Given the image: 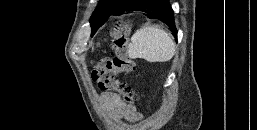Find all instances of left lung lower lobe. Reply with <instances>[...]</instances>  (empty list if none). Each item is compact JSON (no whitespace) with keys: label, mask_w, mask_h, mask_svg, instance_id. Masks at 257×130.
<instances>
[{"label":"left lung lower lobe","mask_w":257,"mask_h":130,"mask_svg":"<svg viewBox=\"0 0 257 130\" xmlns=\"http://www.w3.org/2000/svg\"><path fill=\"white\" fill-rule=\"evenodd\" d=\"M142 11L150 19H159L170 26L175 38L177 30L174 22L173 10L166 0H129L126 4L112 12V15H121L124 12Z\"/></svg>","instance_id":"1"}]
</instances>
